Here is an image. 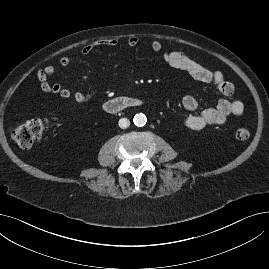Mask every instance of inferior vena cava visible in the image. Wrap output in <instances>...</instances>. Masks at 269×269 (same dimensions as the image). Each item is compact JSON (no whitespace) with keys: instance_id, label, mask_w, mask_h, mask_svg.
<instances>
[{"instance_id":"obj_1","label":"inferior vena cava","mask_w":269,"mask_h":269,"mask_svg":"<svg viewBox=\"0 0 269 269\" xmlns=\"http://www.w3.org/2000/svg\"><path fill=\"white\" fill-rule=\"evenodd\" d=\"M129 125H130L129 119H127V118H121L119 120V127L120 128L125 129V128L129 127Z\"/></svg>"}]
</instances>
